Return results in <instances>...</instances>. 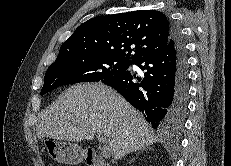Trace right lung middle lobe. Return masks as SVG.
I'll return each mask as SVG.
<instances>
[{"label":"right lung middle lobe","mask_w":231,"mask_h":166,"mask_svg":"<svg viewBox=\"0 0 231 166\" xmlns=\"http://www.w3.org/2000/svg\"><path fill=\"white\" fill-rule=\"evenodd\" d=\"M132 61L99 53H83L57 58L46 74L41 95L68 84L102 81L126 71Z\"/></svg>","instance_id":"obj_1"}]
</instances>
